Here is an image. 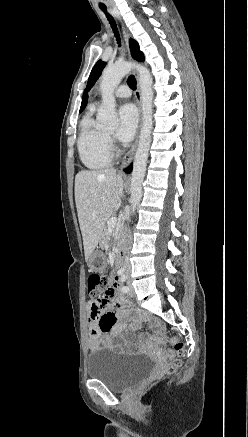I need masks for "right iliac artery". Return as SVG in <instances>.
I'll use <instances>...</instances> for the list:
<instances>
[{
	"instance_id": "82829eb1",
	"label": "right iliac artery",
	"mask_w": 248,
	"mask_h": 437,
	"mask_svg": "<svg viewBox=\"0 0 248 437\" xmlns=\"http://www.w3.org/2000/svg\"><path fill=\"white\" fill-rule=\"evenodd\" d=\"M124 270H125L124 267L120 268L118 271V275H123Z\"/></svg>"
}]
</instances>
